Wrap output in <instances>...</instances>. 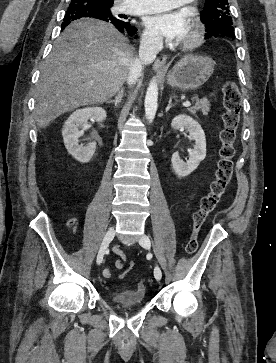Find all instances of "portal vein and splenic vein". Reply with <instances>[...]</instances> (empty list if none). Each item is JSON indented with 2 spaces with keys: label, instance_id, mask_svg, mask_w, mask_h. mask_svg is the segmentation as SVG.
I'll return each instance as SVG.
<instances>
[{
  "label": "portal vein and splenic vein",
  "instance_id": "portal-vein-and-splenic-vein-1",
  "mask_svg": "<svg viewBox=\"0 0 276 363\" xmlns=\"http://www.w3.org/2000/svg\"><path fill=\"white\" fill-rule=\"evenodd\" d=\"M183 106H185V107H189V106H191V103H190L189 101H185V102L183 103Z\"/></svg>",
  "mask_w": 276,
  "mask_h": 363
}]
</instances>
